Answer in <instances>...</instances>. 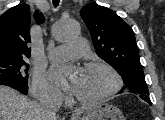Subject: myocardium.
<instances>
[{"label":"myocardium","instance_id":"f54148a6","mask_svg":"<svg viewBox=\"0 0 165 120\" xmlns=\"http://www.w3.org/2000/svg\"><path fill=\"white\" fill-rule=\"evenodd\" d=\"M96 68L104 69L111 75V77L113 79L112 86L104 94H102L96 98H92V99H83V98H80V97L74 95V100L81 105L99 104L101 102L106 101L113 95H115L121 89V86H122L121 76L118 73V71L111 64H109L105 61H93V62H89L85 65V69H96Z\"/></svg>","mask_w":165,"mask_h":120}]
</instances>
